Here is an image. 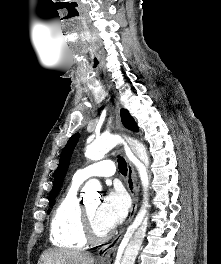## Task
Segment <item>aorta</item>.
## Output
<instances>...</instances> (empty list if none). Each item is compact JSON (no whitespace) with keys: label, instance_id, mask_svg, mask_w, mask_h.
I'll list each match as a JSON object with an SVG mask.
<instances>
[{"label":"aorta","instance_id":"762f6f07","mask_svg":"<svg viewBox=\"0 0 221 264\" xmlns=\"http://www.w3.org/2000/svg\"><path fill=\"white\" fill-rule=\"evenodd\" d=\"M114 145L115 141L111 137L94 140L87 145L85 157L89 160H100ZM131 150L148 167L150 160L145 146L138 141H133ZM84 189L87 194L96 192L100 189V183L95 179L89 180ZM147 224L148 217L146 216L142 221L134 223L128 229L119 246L114 264H134L146 234Z\"/></svg>","mask_w":221,"mask_h":264}]
</instances>
